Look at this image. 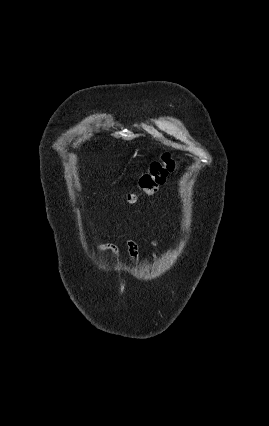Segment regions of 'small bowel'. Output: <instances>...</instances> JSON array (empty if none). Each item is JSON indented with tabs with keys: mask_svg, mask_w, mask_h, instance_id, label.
Returning a JSON list of instances; mask_svg holds the SVG:
<instances>
[{
	"mask_svg": "<svg viewBox=\"0 0 269 426\" xmlns=\"http://www.w3.org/2000/svg\"><path fill=\"white\" fill-rule=\"evenodd\" d=\"M151 245L153 247L152 256L154 259H157L159 257V247H158L157 240L152 239ZM126 246H127L128 256H129V262L132 266H135L137 264L138 256H139L138 245L133 239L129 238L126 241ZM99 249L109 252L111 254L113 261L117 260L119 255V250L115 244L105 243Z\"/></svg>",
	"mask_w": 269,
	"mask_h": 426,
	"instance_id": "1",
	"label": "small bowel"
}]
</instances>
